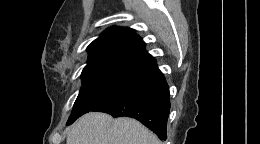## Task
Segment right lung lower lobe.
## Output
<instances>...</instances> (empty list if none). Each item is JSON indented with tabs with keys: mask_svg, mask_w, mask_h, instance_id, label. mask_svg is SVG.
Listing matches in <instances>:
<instances>
[{
	"mask_svg": "<svg viewBox=\"0 0 260 144\" xmlns=\"http://www.w3.org/2000/svg\"><path fill=\"white\" fill-rule=\"evenodd\" d=\"M169 110V88L154 63L138 71L123 88L92 111L135 118L165 141Z\"/></svg>",
	"mask_w": 260,
	"mask_h": 144,
	"instance_id": "obj_1",
	"label": "right lung lower lobe"
}]
</instances>
